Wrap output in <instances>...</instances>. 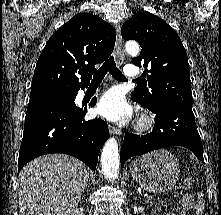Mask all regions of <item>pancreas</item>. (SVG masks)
<instances>
[{
  "instance_id": "cf45deb5",
  "label": "pancreas",
  "mask_w": 221,
  "mask_h": 215,
  "mask_svg": "<svg viewBox=\"0 0 221 215\" xmlns=\"http://www.w3.org/2000/svg\"><path fill=\"white\" fill-rule=\"evenodd\" d=\"M163 204H164L165 206H167V202H166V201H162V200L158 199L157 205L160 206V205H163Z\"/></svg>"
}]
</instances>
